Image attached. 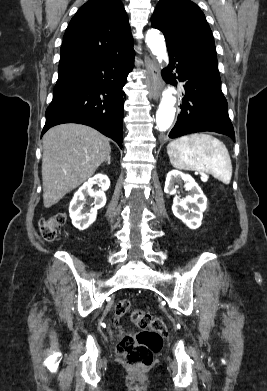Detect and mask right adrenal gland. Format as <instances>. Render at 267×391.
Listing matches in <instances>:
<instances>
[{"mask_svg":"<svg viewBox=\"0 0 267 391\" xmlns=\"http://www.w3.org/2000/svg\"><path fill=\"white\" fill-rule=\"evenodd\" d=\"M107 164H108V165H110V158H108V160H107Z\"/></svg>","mask_w":267,"mask_h":391,"instance_id":"2a0ac1e0","label":"right adrenal gland"}]
</instances>
